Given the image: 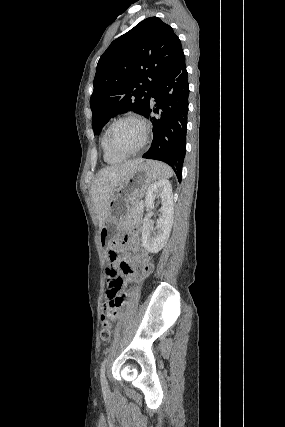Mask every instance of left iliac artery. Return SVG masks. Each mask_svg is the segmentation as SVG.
Segmentation results:
<instances>
[{
	"label": "left iliac artery",
	"mask_w": 285,
	"mask_h": 427,
	"mask_svg": "<svg viewBox=\"0 0 285 427\" xmlns=\"http://www.w3.org/2000/svg\"><path fill=\"white\" fill-rule=\"evenodd\" d=\"M106 362H107V358L104 359V361L102 362V365H101L100 380H101V383L103 385H107V380H106V377H105V365H106Z\"/></svg>",
	"instance_id": "1"
}]
</instances>
